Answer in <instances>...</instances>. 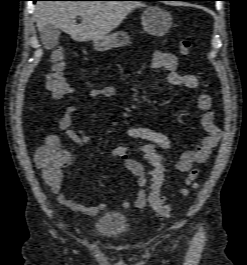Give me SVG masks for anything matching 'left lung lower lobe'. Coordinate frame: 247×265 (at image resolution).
I'll return each mask as SVG.
<instances>
[{
  "instance_id": "left-lung-lower-lobe-1",
  "label": "left lung lower lobe",
  "mask_w": 247,
  "mask_h": 265,
  "mask_svg": "<svg viewBox=\"0 0 247 265\" xmlns=\"http://www.w3.org/2000/svg\"><path fill=\"white\" fill-rule=\"evenodd\" d=\"M143 1H164V0H143ZM168 1H202V0H168Z\"/></svg>"
}]
</instances>
